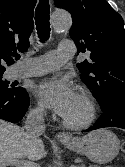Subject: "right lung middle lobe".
<instances>
[{
  "label": "right lung middle lobe",
  "mask_w": 125,
  "mask_h": 167,
  "mask_svg": "<svg viewBox=\"0 0 125 167\" xmlns=\"http://www.w3.org/2000/svg\"><path fill=\"white\" fill-rule=\"evenodd\" d=\"M3 73L4 72H0V89H3L5 91H7L8 93H17L18 92V88L15 87V85L9 83V81H6L3 79Z\"/></svg>",
  "instance_id": "dd1d6c3e"
}]
</instances>
